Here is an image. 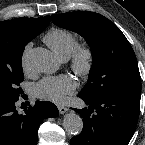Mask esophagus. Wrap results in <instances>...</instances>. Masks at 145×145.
<instances>
[{"label":"esophagus","mask_w":145,"mask_h":145,"mask_svg":"<svg viewBox=\"0 0 145 145\" xmlns=\"http://www.w3.org/2000/svg\"><path fill=\"white\" fill-rule=\"evenodd\" d=\"M58 110H59L60 114H64L67 112V108L64 106H61V105L58 106Z\"/></svg>","instance_id":"34e87169"}]
</instances>
